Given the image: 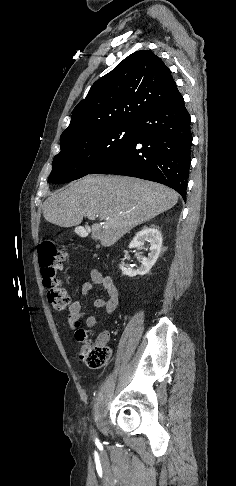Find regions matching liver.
I'll return each instance as SVG.
<instances>
[{
  "label": "liver",
  "instance_id": "liver-1",
  "mask_svg": "<svg viewBox=\"0 0 236 486\" xmlns=\"http://www.w3.org/2000/svg\"><path fill=\"white\" fill-rule=\"evenodd\" d=\"M178 195L159 183L123 176H85L54 193L43 204L46 221L79 225L88 213L103 223L91 227V237L112 246L131 229L172 208Z\"/></svg>",
  "mask_w": 236,
  "mask_h": 486
}]
</instances>
